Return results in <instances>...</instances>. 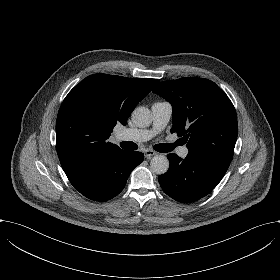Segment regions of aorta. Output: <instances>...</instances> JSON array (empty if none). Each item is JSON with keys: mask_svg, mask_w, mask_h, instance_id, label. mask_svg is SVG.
Returning a JSON list of instances; mask_svg holds the SVG:
<instances>
[{"mask_svg": "<svg viewBox=\"0 0 280 280\" xmlns=\"http://www.w3.org/2000/svg\"><path fill=\"white\" fill-rule=\"evenodd\" d=\"M132 121L139 128H145L152 123L151 111L146 107H137L132 113ZM169 160L164 155H155L151 159L150 169L152 172L161 175L168 171Z\"/></svg>", "mask_w": 280, "mask_h": 280, "instance_id": "obj_1", "label": "aorta"}]
</instances>
